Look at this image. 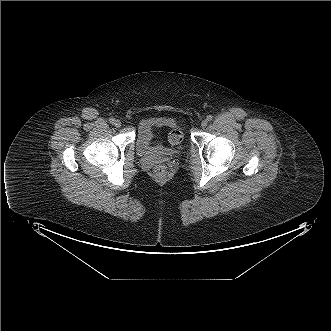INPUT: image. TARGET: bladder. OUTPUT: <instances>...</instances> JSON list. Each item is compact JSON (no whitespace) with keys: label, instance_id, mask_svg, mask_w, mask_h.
<instances>
[{"label":"bladder","instance_id":"1","mask_svg":"<svg viewBox=\"0 0 331 331\" xmlns=\"http://www.w3.org/2000/svg\"><path fill=\"white\" fill-rule=\"evenodd\" d=\"M175 124L167 118L145 120L138 128L136 135V150L141 157L166 158L184 150L183 141L172 146L164 139V130L174 128Z\"/></svg>","mask_w":331,"mask_h":331}]
</instances>
